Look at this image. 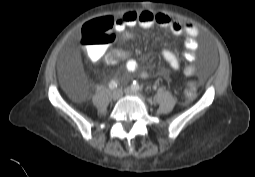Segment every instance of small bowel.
Wrapping results in <instances>:
<instances>
[{"instance_id":"small-bowel-1","label":"small bowel","mask_w":255,"mask_h":177,"mask_svg":"<svg viewBox=\"0 0 255 177\" xmlns=\"http://www.w3.org/2000/svg\"><path fill=\"white\" fill-rule=\"evenodd\" d=\"M105 19L108 20V22L111 24V27H113L116 31L121 32V39L124 41L134 38L131 33L126 32L125 30L126 28L135 26L145 28L160 26L168 28L174 35L185 37L184 51L182 56L184 60L190 64L183 69V73L187 77L184 85L187 87H197L200 85V78L193 77L196 71V67L192 63L196 60L199 49V44L197 41L199 36V29L195 25L187 22H180L163 13L154 14L148 11H127L118 17L106 16ZM161 53L164 61L171 68H180L181 60L179 56L171 49L163 48ZM88 55L92 61H97L98 59L104 57L105 61L109 64L117 63L120 60H126L125 70L129 73H135L139 69L138 62L135 59L130 58V52L128 50H102L97 47H91L88 49Z\"/></svg>"}]
</instances>
